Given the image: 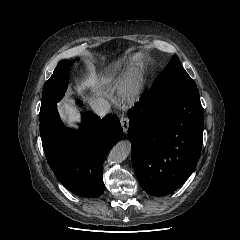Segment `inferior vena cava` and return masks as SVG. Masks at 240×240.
Listing matches in <instances>:
<instances>
[{
  "mask_svg": "<svg viewBox=\"0 0 240 240\" xmlns=\"http://www.w3.org/2000/svg\"><path fill=\"white\" fill-rule=\"evenodd\" d=\"M90 106L93 111L103 117L110 112L111 106L110 103L103 98H96L90 102Z\"/></svg>",
  "mask_w": 240,
  "mask_h": 240,
  "instance_id": "obj_1",
  "label": "inferior vena cava"
}]
</instances>
